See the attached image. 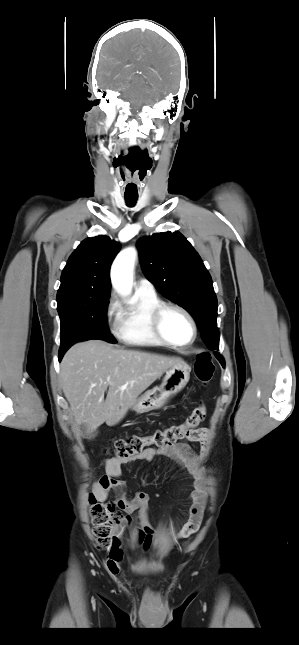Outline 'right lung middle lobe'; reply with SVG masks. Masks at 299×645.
Wrapping results in <instances>:
<instances>
[{
  "instance_id": "right-lung-middle-lobe-1",
  "label": "right lung middle lobe",
  "mask_w": 299,
  "mask_h": 645,
  "mask_svg": "<svg viewBox=\"0 0 299 645\" xmlns=\"http://www.w3.org/2000/svg\"><path fill=\"white\" fill-rule=\"evenodd\" d=\"M110 295L70 298L58 304L61 346L59 354L74 343L101 339L115 343L107 325V306Z\"/></svg>"
}]
</instances>
